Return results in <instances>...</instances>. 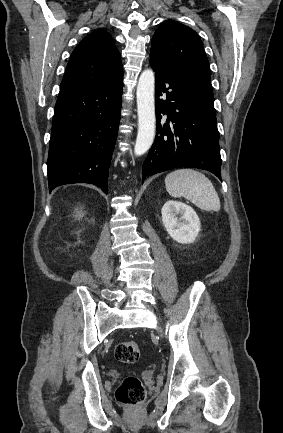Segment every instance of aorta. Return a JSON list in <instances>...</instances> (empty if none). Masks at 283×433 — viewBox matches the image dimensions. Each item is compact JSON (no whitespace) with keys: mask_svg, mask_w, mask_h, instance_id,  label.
Listing matches in <instances>:
<instances>
[{"mask_svg":"<svg viewBox=\"0 0 283 433\" xmlns=\"http://www.w3.org/2000/svg\"><path fill=\"white\" fill-rule=\"evenodd\" d=\"M155 75L151 69L144 70L137 85L138 133L134 147L136 156L146 153L155 138Z\"/></svg>","mask_w":283,"mask_h":433,"instance_id":"aorta-1","label":"aorta"}]
</instances>
